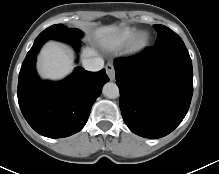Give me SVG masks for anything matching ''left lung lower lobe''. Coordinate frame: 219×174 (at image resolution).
Here are the masks:
<instances>
[{
  "instance_id": "0a47b994",
  "label": "left lung lower lobe",
  "mask_w": 219,
  "mask_h": 174,
  "mask_svg": "<svg viewBox=\"0 0 219 174\" xmlns=\"http://www.w3.org/2000/svg\"><path fill=\"white\" fill-rule=\"evenodd\" d=\"M114 68L122 117L133 133L161 138L181 123L193 94L192 61L184 43L154 45L116 59Z\"/></svg>"
}]
</instances>
